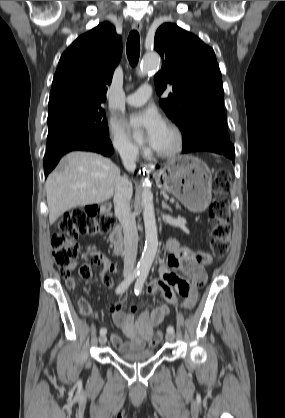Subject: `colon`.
Segmentation results:
<instances>
[{"mask_svg": "<svg viewBox=\"0 0 285 418\" xmlns=\"http://www.w3.org/2000/svg\"><path fill=\"white\" fill-rule=\"evenodd\" d=\"M229 191V184L222 171H218L214 182V193L217 198L209 207V215L213 220L211 232V252L202 256L203 263L207 259H222L226 256L230 247V209L226 195ZM98 208L94 205L85 208H73L63 215L57 223L56 229L51 236V247L54 260L60 269L62 276H66V268L73 264V261L81 254V246L76 241L79 235H101L107 233L116 223L113 214L98 216ZM105 262L100 255L91 257L89 263H82L79 267V274L82 277L92 275L91 267H100ZM188 306L193 305L190 301ZM162 339L160 331L155 332L148 339V346L157 345Z\"/></svg>", "mask_w": 285, "mask_h": 418, "instance_id": "5ec220e1", "label": "colon"}]
</instances>
